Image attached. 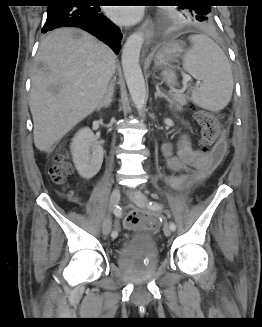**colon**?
I'll use <instances>...</instances> for the list:
<instances>
[{
    "label": "colon",
    "instance_id": "1",
    "mask_svg": "<svg viewBox=\"0 0 262 327\" xmlns=\"http://www.w3.org/2000/svg\"><path fill=\"white\" fill-rule=\"evenodd\" d=\"M194 116L200 127V150L204 153H210V165L212 168L218 167L226 157L228 148L226 140L222 137L221 124L212 112L205 109L195 108ZM71 172L72 166L67 160V154H58L49 171L52 181L62 185ZM140 223L154 226L158 223V218L154 215L131 213L123 220V225L126 228H133Z\"/></svg>",
    "mask_w": 262,
    "mask_h": 327
}]
</instances>
